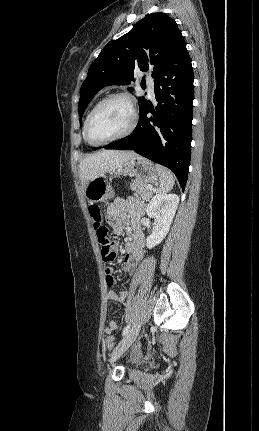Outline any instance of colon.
Here are the masks:
<instances>
[{
  "label": "colon",
  "instance_id": "obj_1",
  "mask_svg": "<svg viewBox=\"0 0 259 431\" xmlns=\"http://www.w3.org/2000/svg\"><path fill=\"white\" fill-rule=\"evenodd\" d=\"M89 214L93 221V226L101 245V254L104 261L112 262L117 257V252L114 249L113 243L109 236V229L104 223L102 209L99 205L93 204L89 207ZM106 345L109 349L115 346V338L109 334L106 337Z\"/></svg>",
  "mask_w": 259,
  "mask_h": 431
}]
</instances>
